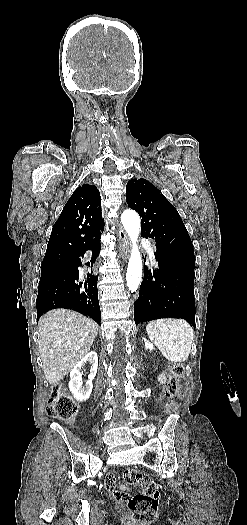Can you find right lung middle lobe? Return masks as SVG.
Here are the masks:
<instances>
[{
    "instance_id": "1",
    "label": "right lung middle lobe",
    "mask_w": 247,
    "mask_h": 525,
    "mask_svg": "<svg viewBox=\"0 0 247 525\" xmlns=\"http://www.w3.org/2000/svg\"><path fill=\"white\" fill-rule=\"evenodd\" d=\"M67 261H68V257L67 256H56V257H53V258L49 259V261L44 266L41 267V271H45V270H48V269H51V268L58 267L60 265L65 264Z\"/></svg>"
}]
</instances>
